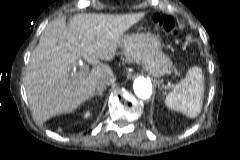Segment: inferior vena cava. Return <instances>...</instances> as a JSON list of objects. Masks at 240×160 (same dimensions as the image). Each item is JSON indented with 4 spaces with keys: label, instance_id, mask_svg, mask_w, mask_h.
Masks as SVG:
<instances>
[{
    "label": "inferior vena cava",
    "instance_id": "602c4592",
    "mask_svg": "<svg viewBox=\"0 0 240 160\" xmlns=\"http://www.w3.org/2000/svg\"><path fill=\"white\" fill-rule=\"evenodd\" d=\"M109 81H110V78H106V79L100 80V81L97 83V89L105 88L106 84H107Z\"/></svg>",
    "mask_w": 240,
    "mask_h": 160
}]
</instances>
